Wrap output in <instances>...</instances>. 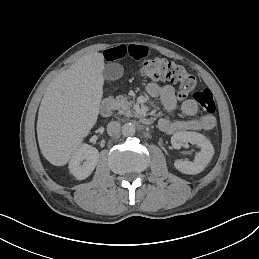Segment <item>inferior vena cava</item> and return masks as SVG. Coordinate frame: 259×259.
<instances>
[{
  "instance_id": "1",
  "label": "inferior vena cava",
  "mask_w": 259,
  "mask_h": 259,
  "mask_svg": "<svg viewBox=\"0 0 259 259\" xmlns=\"http://www.w3.org/2000/svg\"><path fill=\"white\" fill-rule=\"evenodd\" d=\"M107 132L114 138H119L121 135V125L118 121H111L108 123Z\"/></svg>"
}]
</instances>
